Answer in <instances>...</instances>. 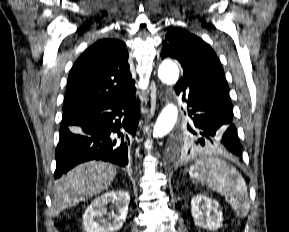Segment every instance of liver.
Masks as SVG:
<instances>
[{"label":"liver","mask_w":289,"mask_h":232,"mask_svg":"<svg viewBox=\"0 0 289 232\" xmlns=\"http://www.w3.org/2000/svg\"><path fill=\"white\" fill-rule=\"evenodd\" d=\"M116 176V168L103 161L78 165L55 182L52 215L107 190Z\"/></svg>","instance_id":"6515ba94"}]
</instances>
